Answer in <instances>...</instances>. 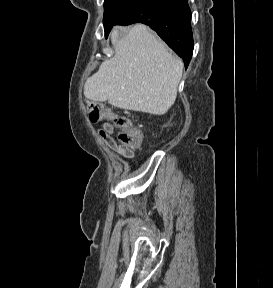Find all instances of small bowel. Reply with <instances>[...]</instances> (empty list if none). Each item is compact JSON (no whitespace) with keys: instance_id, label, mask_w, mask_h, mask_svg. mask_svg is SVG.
Instances as JSON below:
<instances>
[{"instance_id":"small-bowel-1","label":"small bowel","mask_w":273,"mask_h":288,"mask_svg":"<svg viewBox=\"0 0 273 288\" xmlns=\"http://www.w3.org/2000/svg\"><path fill=\"white\" fill-rule=\"evenodd\" d=\"M111 129L106 126L105 127V131H103L101 134L103 136V138L105 139L107 145L117 151L118 153H120L122 156L126 157V158H131L133 156V152L130 149H127L125 147H119L117 146V144L114 142V140L109 136Z\"/></svg>"}]
</instances>
